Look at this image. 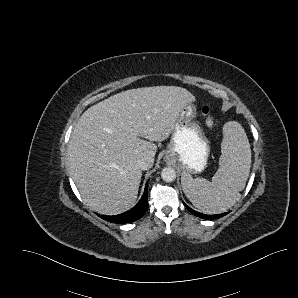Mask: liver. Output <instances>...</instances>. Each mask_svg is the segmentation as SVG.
I'll return each instance as SVG.
<instances>
[{
	"label": "liver",
	"instance_id": "1",
	"mask_svg": "<svg viewBox=\"0 0 298 298\" xmlns=\"http://www.w3.org/2000/svg\"><path fill=\"white\" fill-rule=\"evenodd\" d=\"M194 100L185 87L156 85L121 91L84 111L68 147L82 200L102 215L130 210L142 177L137 160L145 158L153 165L155 141L169 137L179 110Z\"/></svg>",
	"mask_w": 298,
	"mask_h": 298
}]
</instances>
